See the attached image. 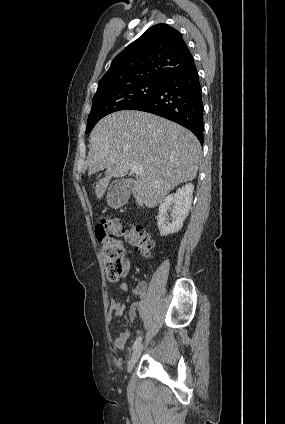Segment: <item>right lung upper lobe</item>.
Instances as JSON below:
<instances>
[{"instance_id":"obj_1","label":"right lung upper lobe","mask_w":285,"mask_h":424,"mask_svg":"<svg viewBox=\"0 0 285 424\" xmlns=\"http://www.w3.org/2000/svg\"><path fill=\"white\" fill-rule=\"evenodd\" d=\"M192 61L179 31L156 24L114 58L97 91L139 81H164Z\"/></svg>"}]
</instances>
